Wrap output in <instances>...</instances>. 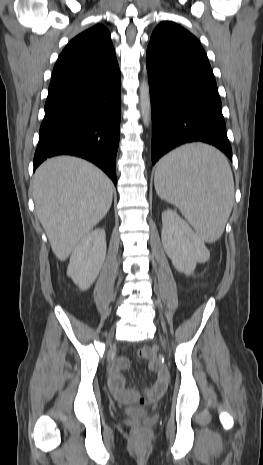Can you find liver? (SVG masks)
<instances>
[{
    "mask_svg": "<svg viewBox=\"0 0 263 465\" xmlns=\"http://www.w3.org/2000/svg\"><path fill=\"white\" fill-rule=\"evenodd\" d=\"M111 180L93 164L58 156L42 163L34 174L33 199L55 256L65 261L108 213Z\"/></svg>",
    "mask_w": 263,
    "mask_h": 465,
    "instance_id": "liver-1",
    "label": "liver"
}]
</instances>
